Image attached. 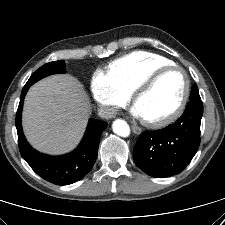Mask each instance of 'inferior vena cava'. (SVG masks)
Wrapping results in <instances>:
<instances>
[{"mask_svg":"<svg viewBox=\"0 0 225 225\" xmlns=\"http://www.w3.org/2000/svg\"><path fill=\"white\" fill-rule=\"evenodd\" d=\"M118 108L113 106V107H101L99 114L103 118H112L115 116L117 113Z\"/></svg>","mask_w":225,"mask_h":225,"instance_id":"inferior-vena-cava-1","label":"inferior vena cava"}]
</instances>
